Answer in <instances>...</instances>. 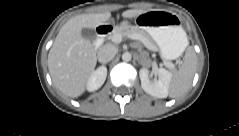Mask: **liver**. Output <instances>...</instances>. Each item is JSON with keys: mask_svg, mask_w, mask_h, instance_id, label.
Instances as JSON below:
<instances>
[{"mask_svg": "<svg viewBox=\"0 0 239 136\" xmlns=\"http://www.w3.org/2000/svg\"><path fill=\"white\" fill-rule=\"evenodd\" d=\"M142 13V10H127L122 17L135 18ZM110 17V12L80 14L70 18L57 34L48 54V69L54 85L64 95L72 98L82 95L97 63L96 50L82 37V29H94Z\"/></svg>", "mask_w": 239, "mask_h": 136, "instance_id": "1", "label": "liver"}]
</instances>
